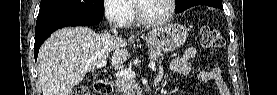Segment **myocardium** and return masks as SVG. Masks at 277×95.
I'll return each instance as SVG.
<instances>
[{
    "label": "myocardium",
    "instance_id": "obj_1",
    "mask_svg": "<svg viewBox=\"0 0 277 95\" xmlns=\"http://www.w3.org/2000/svg\"><path fill=\"white\" fill-rule=\"evenodd\" d=\"M143 0H132L133 2V9H134V14L136 19L138 20L139 23L147 26H158L165 24L169 22L175 12V0H167L168 5H169V11L168 14L160 19H148L145 18L144 16L141 15L140 13V2Z\"/></svg>",
    "mask_w": 277,
    "mask_h": 95
}]
</instances>
